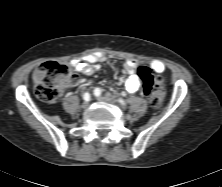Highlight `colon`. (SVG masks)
Returning a JSON list of instances; mask_svg holds the SVG:
<instances>
[{
  "instance_id": "1",
  "label": "colon",
  "mask_w": 222,
  "mask_h": 187,
  "mask_svg": "<svg viewBox=\"0 0 222 187\" xmlns=\"http://www.w3.org/2000/svg\"><path fill=\"white\" fill-rule=\"evenodd\" d=\"M137 75L142 84L144 96L153 107H159L165 96L162 81L145 66L138 69ZM74 78L69 65L56 61L45 62L34 73L36 94L45 102H53L64 86L74 82Z\"/></svg>"
}]
</instances>
